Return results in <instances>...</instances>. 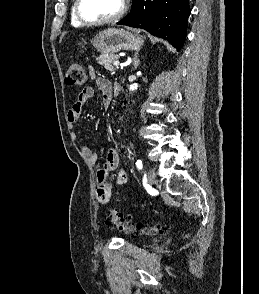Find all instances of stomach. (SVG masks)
<instances>
[{
    "label": "stomach",
    "instance_id": "obj_1",
    "mask_svg": "<svg viewBox=\"0 0 259 294\" xmlns=\"http://www.w3.org/2000/svg\"><path fill=\"white\" fill-rule=\"evenodd\" d=\"M91 43L100 53L112 55L120 51L139 50L144 44V39L130 31L108 28L99 32Z\"/></svg>",
    "mask_w": 259,
    "mask_h": 294
}]
</instances>
